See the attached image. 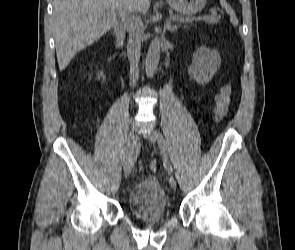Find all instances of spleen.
Instances as JSON below:
<instances>
[{"instance_id": "3e777b00", "label": "spleen", "mask_w": 295, "mask_h": 250, "mask_svg": "<svg viewBox=\"0 0 295 250\" xmlns=\"http://www.w3.org/2000/svg\"><path fill=\"white\" fill-rule=\"evenodd\" d=\"M220 4L226 10L227 14L230 16V22L236 26L238 24V20L233 9L225 0H220Z\"/></svg>"}]
</instances>
